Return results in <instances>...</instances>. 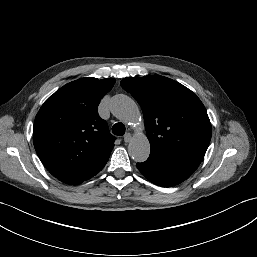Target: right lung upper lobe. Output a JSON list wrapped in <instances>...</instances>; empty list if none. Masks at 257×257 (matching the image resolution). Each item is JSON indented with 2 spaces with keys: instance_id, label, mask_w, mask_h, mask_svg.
<instances>
[{
  "instance_id": "right-lung-upper-lobe-1",
  "label": "right lung upper lobe",
  "mask_w": 257,
  "mask_h": 257,
  "mask_svg": "<svg viewBox=\"0 0 257 257\" xmlns=\"http://www.w3.org/2000/svg\"><path fill=\"white\" fill-rule=\"evenodd\" d=\"M115 79L81 78L57 90L36 115L33 143L48 171L67 184H80L101 171L115 138L97 107Z\"/></svg>"
}]
</instances>
